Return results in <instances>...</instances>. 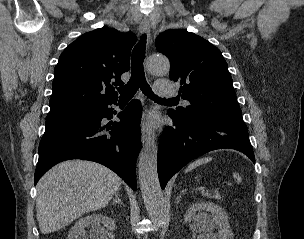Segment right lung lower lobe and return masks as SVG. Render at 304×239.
<instances>
[{"label":"right lung lower lobe","mask_w":304,"mask_h":239,"mask_svg":"<svg viewBox=\"0 0 304 239\" xmlns=\"http://www.w3.org/2000/svg\"><path fill=\"white\" fill-rule=\"evenodd\" d=\"M117 99L100 104L87 113L56 121H46L39 144V160L34 183L54 165L70 159L98 162L117 173L136 190V158L141 148L140 103L133 100L118 115L120 121L104 126Z\"/></svg>","instance_id":"obj_1"}]
</instances>
